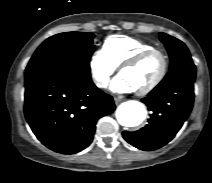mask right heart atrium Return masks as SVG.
<instances>
[{"label":"right heart atrium","instance_id":"1","mask_svg":"<svg viewBox=\"0 0 212 183\" xmlns=\"http://www.w3.org/2000/svg\"><path fill=\"white\" fill-rule=\"evenodd\" d=\"M117 67L103 49L96 51L90 58L89 71L98 88H106Z\"/></svg>","mask_w":212,"mask_h":183}]
</instances>
